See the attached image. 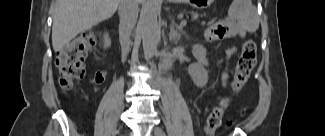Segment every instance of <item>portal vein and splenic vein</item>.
Masks as SVG:
<instances>
[{
	"instance_id": "1",
	"label": "portal vein and splenic vein",
	"mask_w": 325,
	"mask_h": 136,
	"mask_svg": "<svg viewBox=\"0 0 325 136\" xmlns=\"http://www.w3.org/2000/svg\"><path fill=\"white\" fill-rule=\"evenodd\" d=\"M186 25V21L185 20H182L181 21V26H185Z\"/></svg>"
}]
</instances>
